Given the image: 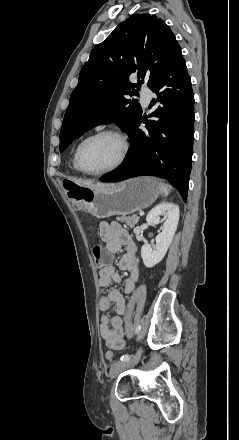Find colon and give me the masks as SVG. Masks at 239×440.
Masks as SVG:
<instances>
[{
  "label": "colon",
  "mask_w": 239,
  "mask_h": 440,
  "mask_svg": "<svg viewBox=\"0 0 239 440\" xmlns=\"http://www.w3.org/2000/svg\"><path fill=\"white\" fill-rule=\"evenodd\" d=\"M93 256H94L95 263L98 266H102L103 267V266L107 265L108 262H109V257L107 255V253L100 246H95L93 248ZM105 358L108 361H113L114 360V352L111 351V350L106 351L105 352Z\"/></svg>",
  "instance_id": "obj_1"
}]
</instances>
